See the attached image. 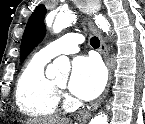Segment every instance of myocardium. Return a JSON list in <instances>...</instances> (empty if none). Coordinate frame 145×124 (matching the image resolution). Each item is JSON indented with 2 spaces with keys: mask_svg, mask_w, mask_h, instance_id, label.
I'll return each instance as SVG.
<instances>
[{
  "mask_svg": "<svg viewBox=\"0 0 145 124\" xmlns=\"http://www.w3.org/2000/svg\"><path fill=\"white\" fill-rule=\"evenodd\" d=\"M51 84L58 97L63 96L65 87L59 86L55 81H51Z\"/></svg>",
  "mask_w": 145,
  "mask_h": 124,
  "instance_id": "myocardium-1",
  "label": "myocardium"
}]
</instances>
